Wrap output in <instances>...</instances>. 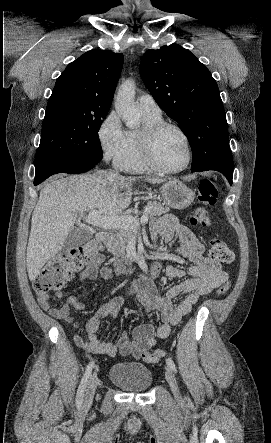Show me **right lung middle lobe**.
<instances>
[{
    "label": "right lung middle lobe",
    "mask_w": 271,
    "mask_h": 443,
    "mask_svg": "<svg viewBox=\"0 0 271 443\" xmlns=\"http://www.w3.org/2000/svg\"><path fill=\"white\" fill-rule=\"evenodd\" d=\"M108 112H93L71 102L48 104L35 167L61 158L102 159L98 138Z\"/></svg>",
    "instance_id": "right-lung-middle-lobe-1"
}]
</instances>
